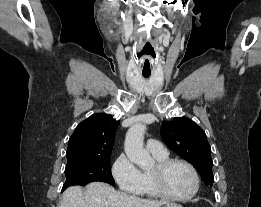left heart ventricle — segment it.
Returning a JSON list of instances; mask_svg holds the SVG:
<instances>
[{
    "label": "left heart ventricle",
    "mask_w": 261,
    "mask_h": 207,
    "mask_svg": "<svg viewBox=\"0 0 261 207\" xmlns=\"http://www.w3.org/2000/svg\"><path fill=\"white\" fill-rule=\"evenodd\" d=\"M163 185L170 194L185 196L193 189V178L188 168L184 165L174 164L164 173Z\"/></svg>",
    "instance_id": "left-heart-ventricle-1"
}]
</instances>
